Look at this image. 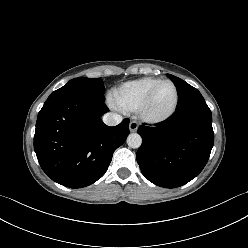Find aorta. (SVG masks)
Segmentation results:
<instances>
[{"label": "aorta", "instance_id": "obj_1", "mask_svg": "<svg viewBox=\"0 0 248 248\" xmlns=\"http://www.w3.org/2000/svg\"><path fill=\"white\" fill-rule=\"evenodd\" d=\"M127 144L131 148H139L142 144V137L138 133H132L127 137Z\"/></svg>", "mask_w": 248, "mask_h": 248}]
</instances>
